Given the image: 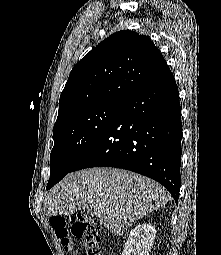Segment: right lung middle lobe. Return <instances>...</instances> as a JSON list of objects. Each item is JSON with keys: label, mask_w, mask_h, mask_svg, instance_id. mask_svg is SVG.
<instances>
[{"label": "right lung middle lobe", "mask_w": 221, "mask_h": 255, "mask_svg": "<svg viewBox=\"0 0 221 255\" xmlns=\"http://www.w3.org/2000/svg\"><path fill=\"white\" fill-rule=\"evenodd\" d=\"M120 103H104L78 110L53 128L47 189L59 182L100 136Z\"/></svg>", "instance_id": "dd1d6c3e"}]
</instances>
